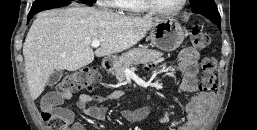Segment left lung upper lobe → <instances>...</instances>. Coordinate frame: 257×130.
Returning a JSON list of instances; mask_svg holds the SVG:
<instances>
[{
    "instance_id": "5c2ea615",
    "label": "left lung upper lobe",
    "mask_w": 257,
    "mask_h": 130,
    "mask_svg": "<svg viewBox=\"0 0 257 130\" xmlns=\"http://www.w3.org/2000/svg\"><path fill=\"white\" fill-rule=\"evenodd\" d=\"M190 2L192 11L205 15L215 22L221 19L214 0H190Z\"/></svg>"
}]
</instances>
